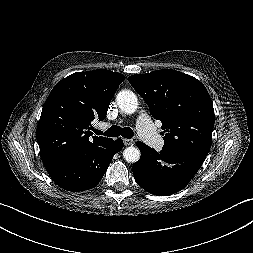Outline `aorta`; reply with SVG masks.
I'll use <instances>...</instances> for the list:
<instances>
[{
  "label": "aorta",
  "instance_id": "1",
  "mask_svg": "<svg viewBox=\"0 0 253 253\" xmlns=\"http://www.w3.org/2000/svg\"><path fill=\"white\" fill-rule=\"evenodd\" d=\"M116 102L119 108L127 114L134 113L138 107L137 96L130 90L120 91L117 94ZM123 157L127 162H137L140 158V150L134 146L127 147L123 151Z\"/></svg>",
  "mask_w": 253,
  "mask_h": 253
}]
</instances>
